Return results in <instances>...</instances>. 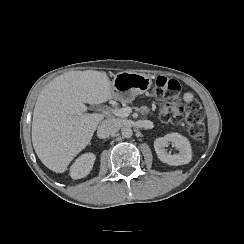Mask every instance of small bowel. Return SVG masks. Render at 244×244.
Wrapping results in <instances>:
<instances>
[{
  "instance_id": "c3829d8e",
  "label": "small bowel",
  "mask_w": 244,
  "mask_h": 244,
  "mask_svg": "<svg viewBox=\"0 0 244 244\" xmlns=\"http://www.w3.org/2000/svg\"><path fill=\"white\" fill-rule=\"evenodd\" d=\"M182 99L184 102L188 103V102L192 101L193 99H195V97H194L193 93L186 91L183 93ZM146 111L148 112L149 110L147 109Z\"/></svg>"
}]
</instances>
